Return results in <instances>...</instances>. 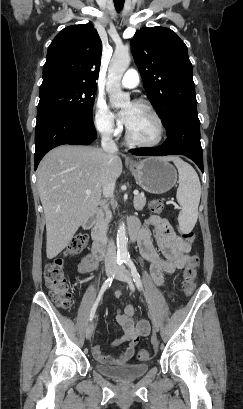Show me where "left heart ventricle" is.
Listing matches in <instances>:
<instances>
[{"label":"left heart ventricle","instance_id":"1","mask_svg":"<svg viewBox=\"0 0 243 409\" xmlns=\"http://www.w3.org/2000/svg\"><path fill=\"white\" fill-rule=\"evenodd\" d=\"M128 110L130 119L127 126L131 134L141 140H154L158 135V129L150 113L144 107L136 104H127L123 107V111Z\"/></svg>","mask_w":243,"mask_h":409}]
</instances>
